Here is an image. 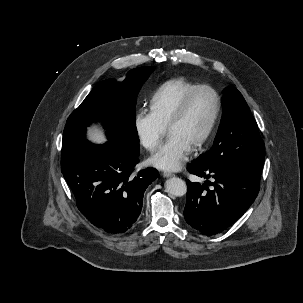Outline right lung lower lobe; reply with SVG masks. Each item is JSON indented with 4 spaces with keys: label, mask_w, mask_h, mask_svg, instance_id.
Returning <instances> with one entry per match:
<instances>
[{
    "label": "right lung lower lobe",
    "mask_w": 303,
    "mask_h": 303,
    "mask_svg": "<svg viewBox=\"0 0 303 303\" xmlns=\"http://www.w3.org/2000/svg\"><path fill=\"white\" fill-rule=\"evenodd\" d=\"M139 155H130L108 141L82 140L62 151L61 171L80 212L110 233L130 230L140 215L143 195L159 173L153 168L133 174Z\"/></svg>",
    "instance_id": "obj_1"
}]
</instances>
